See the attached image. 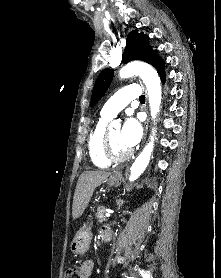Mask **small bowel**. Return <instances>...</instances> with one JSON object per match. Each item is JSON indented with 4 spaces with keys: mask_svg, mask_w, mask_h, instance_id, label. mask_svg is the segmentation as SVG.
<instances>
[{
    "mask_svg": "<svg viewBox=\"0 0 221 278\" xmlns=\"http://www.w3.org/2000/svg\"><path fill=\"white\" fill-rule=\"evenodd\" d=\"M80 268L84 274V278H90L94 270V262L91 260L85 261L81 264Z\"/></svg>",
    "mask_w": 221,
    "mask_h": 278,
    "instance_id": "obj_1",
    "label": "small bowel"
}]
</instances>
